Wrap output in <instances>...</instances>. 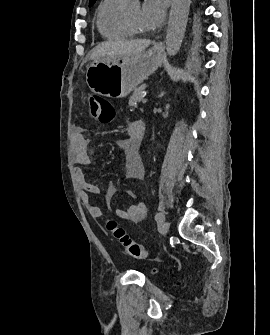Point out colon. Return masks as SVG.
Wrapping results in <instances>:
<instances>
[{"mask_svg": "<svg viewBox=\"0 0 270 335\" xmlns=\"http://www.w3.org/2000/svg\"><path fill=\"white\" fill-rule=\"evenodd\" d=\"M90 115L102 124H109L115 116V110L105 98L93 94L90 99ZM107 226L108 230L128 255L135 259H144L147 257L146 248L133 242L116 220L110 219Z\"/></svg>", "mask_w": 270, "mask_h": 335, "instance_id": "1", "label": "colon"}]
</instances>
